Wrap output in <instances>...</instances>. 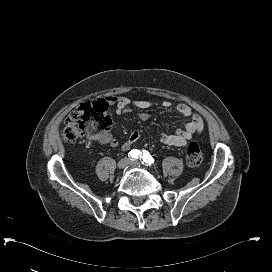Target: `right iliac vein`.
<instances>
[{
  "instance_id": "1",
  "label": "right iliac vein",
  "mask_w": 272,
  "mask_h": 272,
  "mask_svg": "<svg viewBox=\"0 0 272 272\" xmlns=\"http://www.w3.org/2000/svg\"><path fill=\"white\" fill-rule=\"evenodd\" d=\"M129 162H130V159H129V158H127V157L122 158V159H120V160L118 161L117 167H118L119 169H123V168H125V167L129 164Z\"/></svg>"
}]
</instances>
